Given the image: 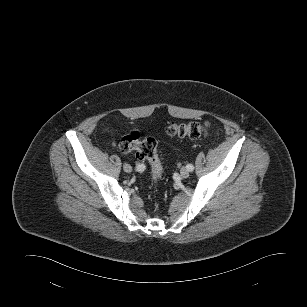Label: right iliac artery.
Segmentation results:
<instances>
[{
  "label": "right iliac artery",
  "instance_id": "obj_1",
  "mask_svg": "<svg viewBox=\"0 0 307 307\" xmlns=\"http://www.w3.org/2000/svg\"><path fill=\"white\" fill-rule=\"evenodd\" d=\"M136 170H137L138 172H143V171L145 170V166H144L143 164H138V165L136 166Z\"/></svg>",
  "mask_w": 307,
  "mask_h": 307
}]
</instances>
